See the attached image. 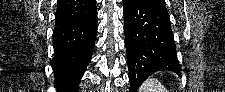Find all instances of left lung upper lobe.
Segmentation results:
<instances>
[{"instance_id": "5c2ea615", "label": "left lung upper lobe", "mask_w": 225, "mask_h": 92, "mask_svg": "<svg viewBox=\"0 0 225 92\" xmlns=\"http://www.w3.org/2000/svg\"><path fill=\"white\" fill-rule=\"evenodd\" d=\"M145 3H148V4H152V5H156V6H159V7H162V8H165L166 9V3H165V0H141Z\"/></svg>"}]
</instances>
